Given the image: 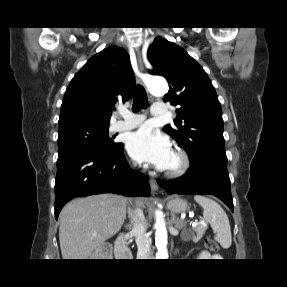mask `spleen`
<instances>
[{"instance_id": "spleen-1", "label": "spleen", "mask_w": 287, "mask_h": 287, "mask_svg": "<svg viewBox=\"0 0 287 287\" xmlns=\"http://www.w3.org/2000/svg\"><path fill=\"white\" fill-rule=\"evenodd\" d=\"M194 200L203 208V218L216 233V240L223 248H229L232 244V235L226 212L216 201L206 196L196 195Z\"/></svg>"}]
</instances>
